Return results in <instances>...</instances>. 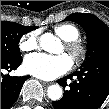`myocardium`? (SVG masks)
I'll use <instances>...</instances> for the list:
<instances>
[{"label": "myocardium", "instance_id": "myocardium-1", "mask_svg": "<svg viewBox=\"0 0 109 109\" xmlns=\"http://www.w3.org/2000/svg\"><path fill=\"white\" fill-rule=\"evenodd\" d=\"M66 50L69 52L74 65H81L87 56L86 46L79 40H73L66 43Z\"/></svg>", "mask_w": 109, "mask_h": 109}]
</instances>
